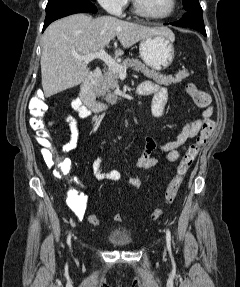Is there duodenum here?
Wrapping results in <instances>:
<instances>
[{
	"label": "duodenum",
	"mask_w": 240,
	"mask_h": 287,
	"mask_svg": "<svg viewBox=\"0 0 240 287\" xmlns=\"http://www.w3.org/2000/svg\"><path fill=\"white\" fill-rule=\"evenodd\" d=\"M102 75L100 68H95L80 85V96L83 104L94 113H100L109 106L96 99L95 84Z\"/></svg>",
	"instance_id": "1"
}]
</instances>
